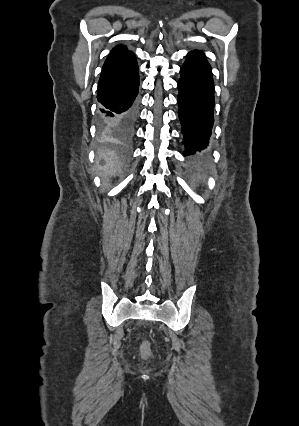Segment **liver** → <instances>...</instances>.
Listing matches in <instances>:
<instances>
[{"instance_id":"1","label":"liver","mask_w":299,"mask_h":426,"mask_svg":"<svg viewBox=\"0 0 299 426\" xmlns=\"http://www.w3.org/2000/svg\"><path fill=\"white\" fill-rule=\"evenodd\" d=\"M99 156L106 162L105 166L103 167L105 175H110L117 171L119 167L118 159L111 150L100 151Z\"/></svg>"}]
</instances>
